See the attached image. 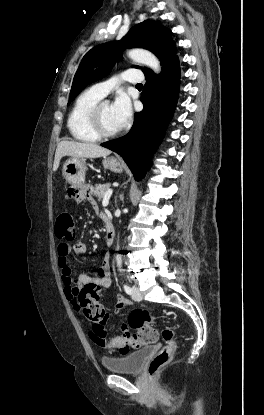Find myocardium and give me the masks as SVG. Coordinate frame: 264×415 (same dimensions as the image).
Returning a JSON list of instances; mask_svg holds the SVG:
<instances>
[{"label": "myocardium", "instance_id": "f54148a6", "mask_svg": "<svg viewBox=\"0 0 264 415\" xmlns=\"http://www.w3.org/2000/svg\"><path fill=\"white\" fill-rule=\"evenodd\" d=\"M105 102H98L96 103L88 112L87 121L91 131L99 138V139H111L116 138L121 134V129L107 133L104 131L101 121V108Z\"/></svg>", "mask_w": 264, "mask_h": 415}]
</instances>
